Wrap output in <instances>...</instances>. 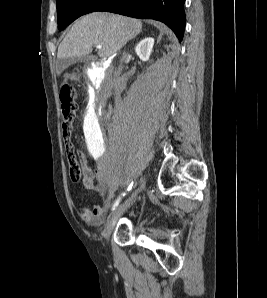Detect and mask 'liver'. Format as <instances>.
Segmentation results:
<instances>
[{
  "label": "liver",
  "instance_id": "obj_1",
  "mask_svg": "<svg viewBox=\"0 0 267 298\" xmlns=\"http://www.w3.org/2000/svg\"><path fill=\"white\" fill-rule=\"evenodd\" d=\"M142 29L138 19L94 12L75 22L58 47L57 58H79L92 52V47L101 45L98 55L107 58L118 52Z\"/></svg>",
  "mask_w": 267,
  "mask_h": 298
}]
</instances>
